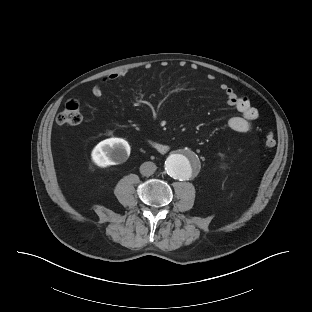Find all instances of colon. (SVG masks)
<instances>
[{
	"label": "colon",
	"mask_w": 312,
	"mask_h": 312,
	"mask_svg": "<svg viewBox=\"0 0 312 312\" xmlns=\"http://www.w3.org/2000/svg\"><path fill=\"white\" fill-rule=\"evenodd\" d=\"M57 123L61 125H78L82 121L80 105L76 100H70L66 103L64 109L56 117ZM264 143L272 148L276 144V139L271 131H267L264 136Z\"/></svg>",
	"instance_id": "colon-1"
}]
</instances>
